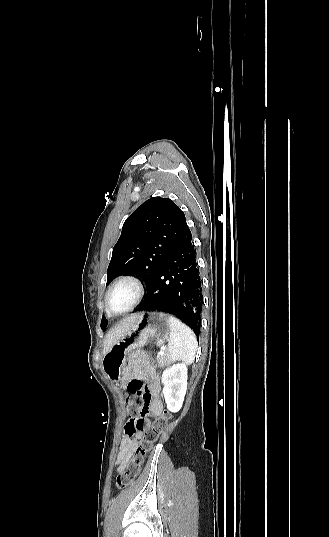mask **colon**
I'll use <instances>...</instances> for the list:
<instances>
[{"mask_svg": "<svg viewBox=\"0 0 329 537\" xmlns=\"http://www.w3.org/2000/svg\"><path fill=\"white\" fill-rule=\"evenodd\" d=\"M126 400L129 423L140 432V441L136 456L131 460L127 468L116 477L115 485L118 489L128 487L138 476L144 456L151 450L153 444L165 430L170 418L169 412L164 410L162 415L152 424L145 422L146 406L150 400L149 394L145 390L137 396H128Z\"/></svg>", "mask_w": 329, "mask_h": 537, "instance_id": "colon-1", "label": "colon"}]
</instances>
